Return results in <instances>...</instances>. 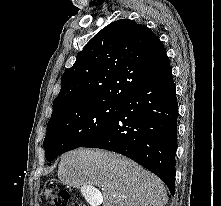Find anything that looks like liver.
<instances>
[{"label":"liver","mask_w":221,"mask_h":206,"mask_svg":"<svg viewBox=\"0 0 221 206\" xmlns=\"http://www.w3.org/2000/svg\"><path fill=\"white\" fill-rule=\"evenodd\" d=\"M58 177L81 189L88 201L89 192L101 188L103 206H165L168 202L165 186L156 175L122 155L100 149L65 153Z\"/></svg>","instance_id":"obj_1"}]
</instances>
